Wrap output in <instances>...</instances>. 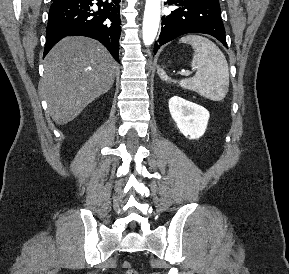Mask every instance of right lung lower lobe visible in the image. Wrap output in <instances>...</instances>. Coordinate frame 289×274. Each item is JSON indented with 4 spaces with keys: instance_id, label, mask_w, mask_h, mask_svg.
I'll use <instances>...</instances> for the list:
<instances>
[{
    "instance_id": "98d812e1",
    "label": "right lung lower lobe",
    "mask_w": 289,
    "mask_h": 274,
    "mask_svg": "<svg viewBox=\"0 0 289 274\" xmlns=\"http://www.w3.org/2000/svg\"><path fill=\"white\" fill-rule=\"evenodd\" d=\"M120 0H52L44 56L63 37L82 35L100 41L119 59Z\"/></svg>"
}]
</instances>
